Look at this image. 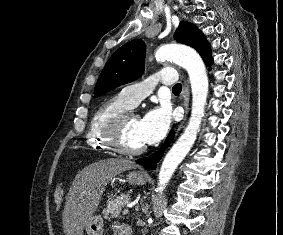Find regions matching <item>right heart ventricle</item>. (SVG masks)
Masks as SVG:
<instances>
[{"label":"right heart ventricle","mask_w":283,"mask_h":235,"mask_svg":"<svg viewBox=\"0 0 283 235\" xmlns=\"http://www.w3.org/2000/svg\"><path fill=\"white\" fill-rule=\"evenodd\" d=\"M130 108L120 94L102 102L90 119L86 133L87 146L93 150H108L109 147L103 137L104 127L111 118Z\"/></svg>","instance_id":"right-heart-ventricle-1"}]
</instances>
